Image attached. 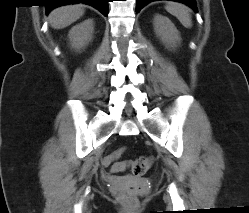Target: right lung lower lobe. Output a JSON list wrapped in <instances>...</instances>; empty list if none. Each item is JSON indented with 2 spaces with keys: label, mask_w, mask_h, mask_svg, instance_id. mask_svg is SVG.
I'll return each instance as SVG.
<instances>
[{
  "label": "right lung lower lobe",
  "mask_w": 249,
  "mask_h": 213,
  "mask_svg": "<svg viewBox=\"0 0 249 213\" xmlns=\"http://www.w3.org/2000/svg\"><path fill=\"white\" fill-rule=\"evenodd\" d=\"M108 1L109 0H50V3L46 5L47 12L55 7L66 4H79L85 3L97 8L105 16L108 15Z\"/></svg>",
  "instance_id": "right-lung-lower-lobe-1"
}]
</instances>
